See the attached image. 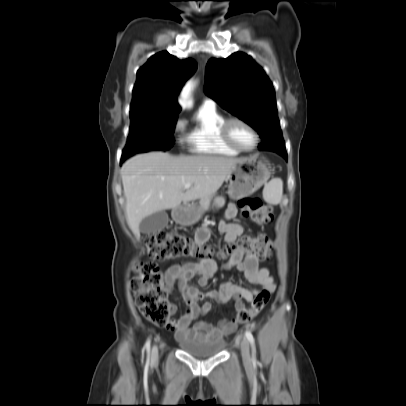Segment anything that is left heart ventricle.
I'll use <instances>...</instances> for the list:
<instances>
[{
  "instance_id": "obj_1",
  "label": "left heart ventricle",
  "mask_w": 406,
  "mask_h": 406,
  "mask_svg": "<svg viewBox=\"0 0 406 406\" xmlns=\"http://www.w3.org/2000/svg\"><path fill=\"white\" fill-rule=\"evenodd\" d=\"M230 135L234 142L243 148H251L254 145L253 133L240 123H233L230 127Z\"/></svg>"
}]
</instances>
